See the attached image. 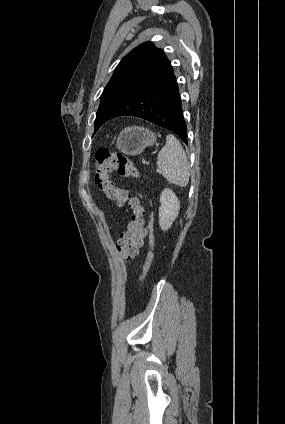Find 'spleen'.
Returning a JSON list of instances; mask_svg holds the SVG:
<instances>
[{"label": "spleen", "mask_w": 285, "mask_h": 424, "mask_svg": "<svg viewBox=\"0 0 285 424\" xmlns=\"http://www.w3.org/2000/svg\"><path fill=\"white\" fill-rule=\"evenodd\" d=\"M157 166L170 183L185 187L189 182V161L181 143L174 135H167L166 144L157 157Z\"/></svg>", "instance_id": "3e777b00"}]
</instances>
